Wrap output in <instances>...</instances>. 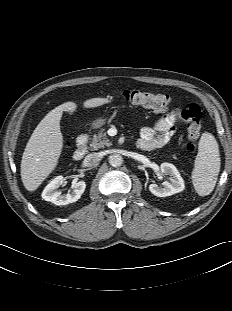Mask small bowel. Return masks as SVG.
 <instances>
[{"label":"small bowel","mask_w":232,"mask_h":311,"mask_svg":"<svg viewBox=\"0 0 232 311\" xmlns=\"http://www.w3.org/2000/svg\"><path fill=\"white\" fill-rule=\"evenodd\" d=\"M182 110L170 112L161 117L153 126L141 130L138 147L145 151H153L164 147L175 132V125Z\"/></svg>","instance_id":"small-bowel-1"}]
</instances>
